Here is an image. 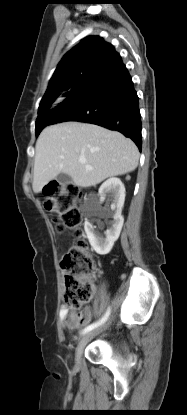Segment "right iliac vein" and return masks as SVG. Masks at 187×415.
I'll list each match as a JSON object with an SVG mask.
<instances>
[{
	"instance_id": "63e3f726",
	"label": "right iliac vein",
	"mask_w": 187,
	"mask_h": 415,
	"mask_svg": "<svg viewBox=\"0 0 187 415\" xmlns=\"http://www.w3.org/2000/svg\"><path fill=\"white\" fill-rule=\"evenodd\" d=\"M109 323H107L106 325L97 328L93 331L88 332L87 334H85L79 341L76 350H75V362L76 364H80L81 359H82V355H83V351L85 346L87 345V343L96 335H98L99 333H101L103 330H105L108 327Z\"/></svg>"
}]
</instances>
